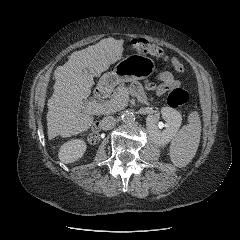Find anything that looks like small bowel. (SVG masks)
<instances>
[{
	"label": "small bowel",
	"instance_id": "obj_1",
	"mask_svg": "<svg viewBox=\"0 0 240 240\" xmlns=\"http://www.w3.org/2000/svg\"><path fill=\"white\" fill-rule=\"evenodd\" d=\"M172 64L177 71H179V72L185 71L183 64L177 58L174 57L172 59ZM158 79L161 81L160 84L149 85V88L151 90L155 91L157 95H162L165 92L175 89L180 86V81L178 79H176L170 72L160 73L158 76ZM132 91L140 100H142V101L145 100L142 86L139 83H134L132 85Z\"/></svg>",
	"mask_w": 240,
	"mask_h": 240
}]
</instances>
